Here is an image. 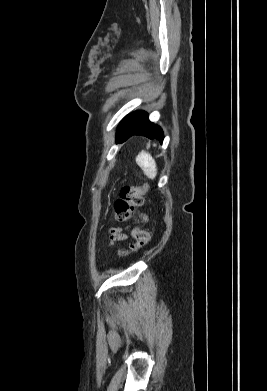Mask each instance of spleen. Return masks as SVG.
<instances>
[{
  "instance_id": "1",
  "label": "spleen",
  "mask_w": 267,
  "mask_h": 391,
  "mask_svg": "<svg viewBox=\"0 0 267 391\" xmlns=\"http://www.w3.org/2000/svg\"><path fill=\"white\" fill-rule=\"evenodd\" d=\"M136 163L148 178L154 179L156 177V163L149 153H146L145 151L140 152L136 157Z\"/></svg>"
}]
</instances>
